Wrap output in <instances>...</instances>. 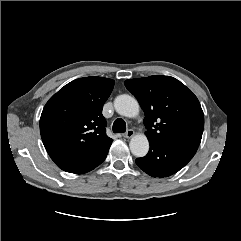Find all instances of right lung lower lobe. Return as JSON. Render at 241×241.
<instances>
[{"label": "right lung lower lobe", "mask_w": 241, "mask_h": 241, "mask_svg": "<svg viewBox=\"0 0 241 241\" xmlns=\"http://www.w3.org/2000/svg\"><path fill=\"white\" fill-rule=\"evenodd\" d=\"M111 143L112 141L90 155L62 162L58 167L66 172L75 174L89 172L105 160Z\"/></svg>", "instance_id": "1"}]
</instances>
